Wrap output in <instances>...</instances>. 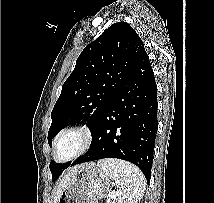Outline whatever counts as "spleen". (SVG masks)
<instances>
[{
	"label": "spleen",
	"instance_id": "3e777b00",
	"mask_svg": "<svg viewBox=\"0 0 214 203\" xmlns=\"http://www.w3.org/2000/svg\"><path fill=\"white\" fill-rule=\"evenodd\" d=\"M97 166L113 181L116 187L113 196L118 203H138L141 200L146 189V180L136 166L117 159L100 160Z\"/></svg>",
	"mask_w": 214,
	"mask_h": 203
}]
</instances>
